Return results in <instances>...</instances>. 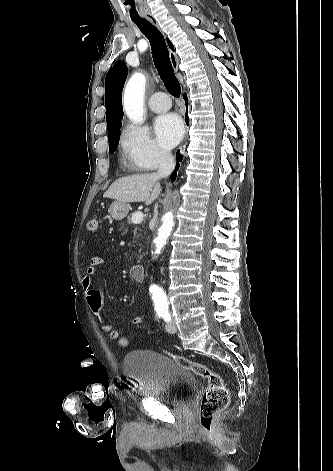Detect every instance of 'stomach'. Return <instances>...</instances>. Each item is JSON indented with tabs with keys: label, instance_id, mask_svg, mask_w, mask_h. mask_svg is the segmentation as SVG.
<instances>
[{
	"label": "stomach",
	"instance_id": "obj_1",
	"mask_svg": "<svg viewBox=\"0 0 333 471\" xmlns=\"http://www.w3.org/2000/svg\"><path fill=\"white\" fill-rule=\"evenodd\" d=\"M129 209V204L114 201L109 208V214L115 220H122L128 214Z\"/></svg>",
	"mask_w": 333,
	"mask_h": 471
}]
</instances>
